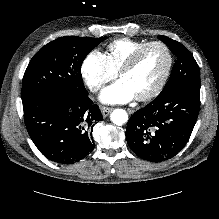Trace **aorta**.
Masks as SVG:
<instances>
[{
    "label": "aorta",
    "instance_id": "762f6f07",
    "mask_svg": "<svg viewBox=\"0 0 219 219\" xmlns=\"http://www.w3.org/2000/svg\"><path fill=\"white\" fill-rule=\"evenodd\" d=\"M110 119L115 125L121 126L128 121V114L123 109H115L111 113Z\"/></svg>",
    "mask_w": 219,
    "mask_h": 219
}]
</instances>
